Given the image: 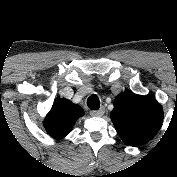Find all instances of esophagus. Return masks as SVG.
I'll list each match as a JSON object with an SVG mask.
<instances>
[{
    "mask_svg": "<svg viewBox=\"0 0 177 177\" xmlns=\"http://www.w3.org/2000/svg\"><path fill=\"white\" fill-rule=\"evenodd\" d=\"M104 112H105V109L102 107V108H100L99 110H92V111L90 112V114H91L92 116L100 117V116H102V115L104 114Z\"/></svg>",
    "mask_w": 177,
    "mask_h": 177,
    "instance_id": "esophagus-1",
    "label": "esophagus"
}]
</instances>
